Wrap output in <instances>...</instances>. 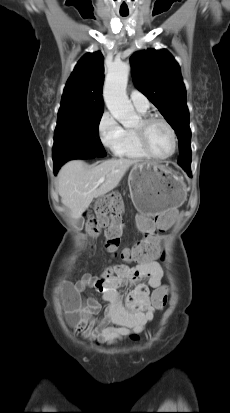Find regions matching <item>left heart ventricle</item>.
<instances>
[{
    "label": "left heart ventricle",
    "instance_id": "b2bd125f",
    "mask_svg": "<svg viewBox=\"0 0 230 413\" xmlns=\"http://www.w3.org/2000/svg\"><path fill=\"white\" fill-rule=\"evenodd\" d=\"M139 126L140 123L137 127ZM146 139L150 149L158 155H167L172 149V138L170 131L162 122L155 121L147 127Z\"/></svg>",
    "mask_w": 230,
    "mask_h": 413
}]
</instances>
